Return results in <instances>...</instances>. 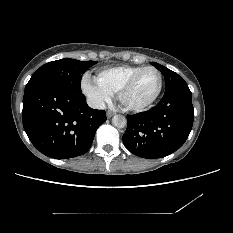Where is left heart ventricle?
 Segmentation results:
<instances>
[{
	"label": "left heart ventricle",
	"mask_w": 233,
	"mask_h": 233,
	"mask_svg": "<svg viewBox=\"0 0 233 233\" xmlns=\"http://www.w3.org/2000/svg\"><path fill=\"white\" fill-rule=\"evenodd\" d=\"M158 82V74L154 70L146 71L127 93L126 102L131 105L144 103L155 94Z\"/></svg>",
	"instance_id": "b2bd125f"
}]
</instances>
